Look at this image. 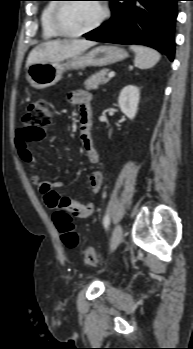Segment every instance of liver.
I'll return each instance as SVG.
<instances>
[{"instance_id":"obj_1","label":"liver","mask_w":193,"mask_h":349,"mask_svg":"<svg viewBox=\"0 0 193 349\" xmlns=\"http://www.w3.org/2000/svg\"><path fill=\"white\" fill-rule=\"evenodd\" d=\"M95 44L96 42L85 39L53 40L41 43L30 52L26 68L28 69L34 63L64 61L84 53Z\"/></svg>"}]
</instances>
